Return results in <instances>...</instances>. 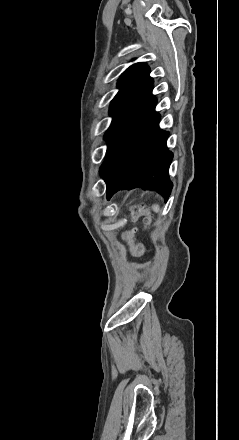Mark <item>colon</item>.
<instances>
[{
  "instance_id": "obj_1",
  "label": "colon",
  "mask_w": 239,
  "mask_h": 440,
  "mask_svg": "<svg viewBox=\"0 0 239 440\" xmlns=\"http://www.w3.org/2000/svg\"><path fill=\"white\" fill-rule=\"evenodd\" d=\"M131 216H132V219H134V220L138 219L141 216H144L145 223L148 224L150 222V217L148 216V214L139 206H135L132 208ZM131 235H132V232H127L125 236L129 238V237H131ZM144 251H145V247L143 244H138L133 248V252L135 255H141L144 253Z\"/></svg>"
}]
</instances>
